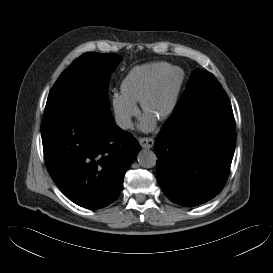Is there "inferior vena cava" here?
<instances>
[{
  "instance_id": "602c4592",
  "label": "inferior vena cava",
  "mask_w": 273,
  "mask_h": 273,
  "mask_svg": "<svg viewBox=\"0 0 273 273\" xmlns=\"http://www.w3.org/2000/svg\"><path fill=\"white\" fill-rule=\"evenodd\" d=\"M115 122L117 126H119L121 129H124V130L132 127L131 118L126 115H117L115 117Z\"/></svg>"
}]
</instances>
